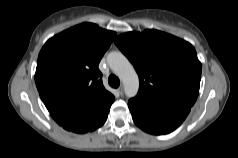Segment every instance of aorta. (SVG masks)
I'll use <instances>...</instances> for the list:
<instances>
[{
    "instance_id": "1",
    "label": "aorta",
    "mask_w": 238,
    "mask_h": 158,
    "mask_svg": "<svg viewBox=\"0 0 238 158\" xmlns=\"http://www.w3.org/2000/svg\"><path fill=\"white\" fill-rule=\"evenodd\" d=\"M107 62L111 70L123 82L126 96L129 98L136 96L139 89V79L126 56L119 51H113L108 54Z\"/></svg>"
}]
</instances>
